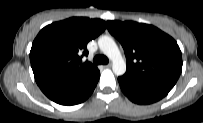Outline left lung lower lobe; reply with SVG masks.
I'll use <instances>...</instances> for the list:
<instances>
[{
	"instance_id": "left-lung-lower-lobe-1",
	"label": "left lung lower lobe",
	"mask_w": 203,
	"mask_h": 123,
	"mask_svg": "<svg viewBox=\"0 0 203 123\" xmlns=\"http://www.w3.org/2000/svg\"><path fill=\"white\" fill-rule=\"evenodd\" d=\"M123 93L134 103L151 104L165 97L171 89L126 75L118 77Z\"/></svg>"
}]
</instances>
